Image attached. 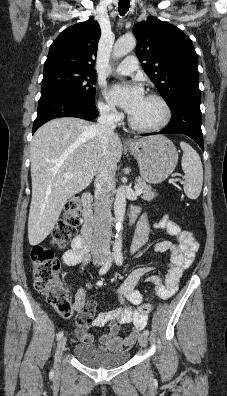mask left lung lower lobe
I'll return each instance as SVG.
<instances>
[{"mask_svg": "<svg viewBox=\"0 0 227 396\" xmlns=\"http://www.w3.org/2000/svg\"><path fill=\"white\" fill-rule=\"evenodd\" d=\"M172 110L170 123L163 130L144 134H185L194 139L204 150L202 130L200 94H182L169 105Z\"/></svg>", "mask_w": 227, "mask_h": 396, "instance_id": "1", "label": "left lung lower lobe"}]
</instances>
